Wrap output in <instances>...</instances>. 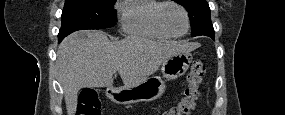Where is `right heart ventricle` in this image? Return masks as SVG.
Returning a JSON list of instances; mask_svg holds the SVG:
<instances>
[{"instance_id":"1","label":"right heart ventricle","mask_w":285,"mask_h":115,"mask_svg":"<svg viewBox=\"0 0 285 115\" xmlns=\"http://www.w3.org/2000/svg\"><path fill=\"white\" fill-rule=\"evenodd\" d=\"M160 1L130 0L121 7V28L129 36L166 40L171 38L157 25L155 14Z\"/></svg>"}]
</instances>
